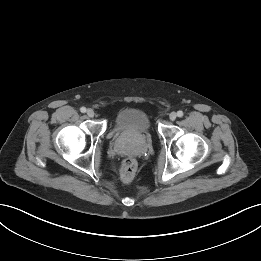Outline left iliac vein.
Masks as SVG:
<instances>
[{
    "label": "left iliac vein",
    "instance_id": "1",
    "mask_svg": "<svg viewBox=\"0 0 261 261\" xmlns=\"http://www.w3.org/2000/svg\"><path fill=\"white\" fill-rule=\"evenodd\" d=\"M176 117H177V114H176L175 112H172V113H170V115H169V119H170L171 121H174V120L176 119Z\"/></svg>",
    "mask_w": 261,
    "mask_h": 261
}]
</instances>
